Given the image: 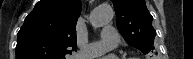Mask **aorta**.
<instances>
[{
    "mask_svg": "<svg viewBox=\"0 0 193 59\" xmlns=\"http://www.w3.org/2000/svg\"><path fill=\"white\" fill-rule=\"evenodd\" d=\"M114 17L113 8L110 5H100L91 12L90 23L93 27H101L108 24Z\"/></svg>",
    "mask_w": 193,
    "mask_h": 59,
    "instance_id": "762f6f07",
    "label": "aorta"
}]
</instances>
